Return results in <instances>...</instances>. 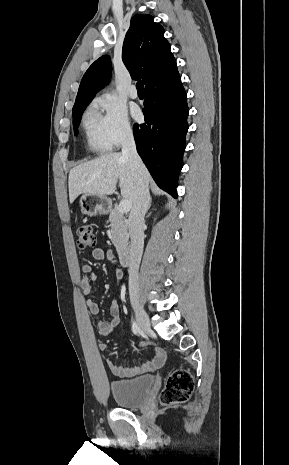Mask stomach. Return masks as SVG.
Wrapping results in <instances>:
<instances>
[{
	"label": "stomach",
	"mask_w": 289,
	"mask_h": 465,
	"mask_svg": "<svg viewBox=\"0 0 289 465\" xmlns=\"http://www.w3.org/2000/svg\"><path fill=\"white\" fill-rule=\"evenodd\" d=\"M81 212L87 216L106 214L111 208V200L106 196L84 194L79 201Z\"/></svg>",
	"instance_id": "obj_1"
}]
</instances>
